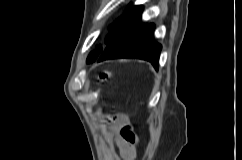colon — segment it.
Masks as SVG:
<instances>
[{
    "label": "colon",
    "mask_w": 242,
    "mask_h": 160,
    "mask_svg": "<svg viewBox=\"0 0 242 160\" xmlns=\"http://www.w3.org/2000/svg\"><path fill=\"white\" fill-rule=\"evenodd\" d=\"M106 76H107L106 72L102 73V75H101L102 78H105ZM126 138L129 140H133L134 134L130 130H128V133L126 134Z\"/></svg>",
    "instance_id": "colon-1"
}]
</instances>
